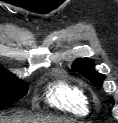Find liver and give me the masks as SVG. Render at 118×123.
Wrapping results in <instances>:
<instances>
[{"label":"liver","instance_id":"6515ba94","mask_svg":"<svg viewBox=\"0 0 118 123\" xmlns=\"http://www.w3.org/2000/svg\"><path fill=\"white\" fill-rule=\"evenodd\" d=\"M0 123H71V121L48 115L24 116L15 114L11 117L0 116Z\"/></svg>","mask_w":118,"mask_h":123}]
</instances>
